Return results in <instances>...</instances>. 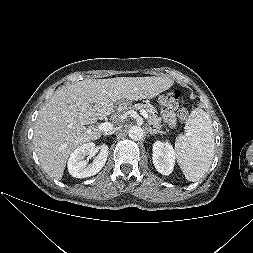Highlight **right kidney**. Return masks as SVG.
Here are the masks:
<instances>
[{
	"instance_id": "obj_1",
	"label": "right kidney",
	"mask_w": 253,
	"mask_h": 253,
	"mask_svg": "<svg viewBox=\"0 0 253 253\" xmlns=\"http://www.w3.org/2000/svg\"><path fill=\"white\" fill-rule=\"evenodd\" d=\"M100 152L92 163L88 164L85 156L92 157L96 153L93 142H89L75 149L68 160V171L75 178H85L97 174L105 165L108 156V146L103 144Z\"/></svg>"
}]
</instances>
